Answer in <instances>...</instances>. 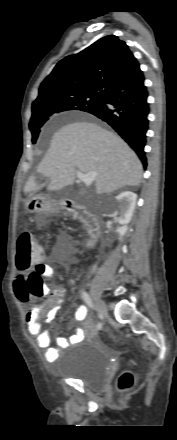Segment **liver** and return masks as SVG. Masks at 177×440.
<instances>
[{"label": "liver", "mask_w": 177, "mask_h": 440, "mask_svg": "<svg viewBox=\"0 0 177 440\" xmlns=\"http://www.w3.org/2000/svg\"><path fill=\"white\" fill-rule=\"evenodd\" d=\"M76 169L97 173V194L138 186L142 179V164L134 151L117 134L91 122L70 123L54 133L37 173L50 178L49 191H58L74 183ZM38 189L33 175L23 191Z\"/></svg>", "instance_id": "1"}]
</instances>
